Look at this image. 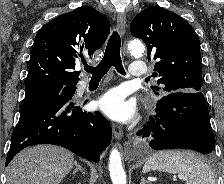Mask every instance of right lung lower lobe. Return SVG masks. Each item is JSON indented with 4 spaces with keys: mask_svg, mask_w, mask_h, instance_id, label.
Returning a JSON list of instances; mask_svg holds the SVG:
<instances>
[{
    "mask_svg": "<svg viewBox=\"0 0 224 184\" xmlns=\"http://www.w3.org/2000/svg\"><path fill=\"white\" fill-rule=\"evenodd\" d=\"M75 90L76 86L72 92L46 94L22 104L6 166L19 151L36 144L59 145L89 161H99L112 139L111 125L101 114L82 111L72 102Z\"/></svg>",
    "mask_w": 224,
    "mask_h": 184,
    "instance_id": "1",
    "label": "right lung lower lobe"
}]
</instances>
